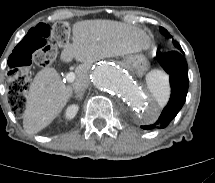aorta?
Listing matches in <instances>:
<instances>
[{
    "mask_svg": "<svg viewBox=\"0 0 215 183\" xmlns=\"http://www.w3.org/2000/svg\"><path fill=\"white\" fill-rule=\"evenodd\" d=\"M90 80L98 90L123 99L136 113H148L150 103L145 93L120 67L109 63L98 64L92 69Z\"/></svg>",
    "mask_w": 215,
    "mask_h": 183,
    "instance_id": "762f6f07",
    "label": "aorta"
}]
</instances>
